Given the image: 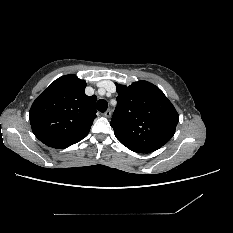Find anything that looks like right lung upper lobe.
<instances>
[{"label": "right lung upper lobe", "instance_id": "cb5924a9", "mask_svg": "<svg viewBox=\"0 0 233 233\" xmlns=\"http://www.w3.org/2000/svg\"><path fill=\"white\" fill-rule=\"evenodd\" d=\"M76 75L55 80L32 104L29 119L35 136L49 147L62 149L82 140L96 118L97 97L84 92Z\"/></svg>", "mask_w": 233, "mask_h": 233}]
</instances>
